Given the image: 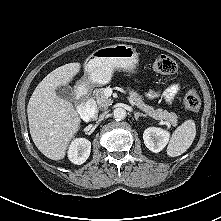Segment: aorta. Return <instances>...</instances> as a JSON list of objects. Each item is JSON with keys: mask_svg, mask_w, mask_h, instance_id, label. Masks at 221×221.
I'll list each match as a JSON object with an SVG mask.
<instances>
[{"mask_svg": "<svg viewBox=\"0 0 221 221\" xmlns=\"http://www.w3.org/2000/svg\"><path fill=\"white\" fill-rule=\"evenodd\" d=\"M113 117L116 120H122L126 117V110L123 108H115L113 111Z\"/></svg>", "mask_w": 221, "mask_h": 221, "instance_id": "762f6f07", "label": "aorta"}]
</instances>
